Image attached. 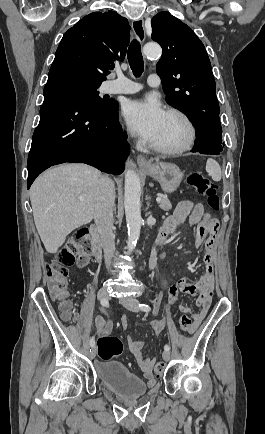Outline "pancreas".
Returning a JSON list of instances; mask_svg holds the SVG:
<instances>
[{"label": "pancreas", "mask_w": 265, "mask_h": 434, "mask_svg": "<svg viewBox=\"0 0 265 434\" xmlns=\"http://www.w3.org/2000/svg\"><path fill=\"white\" fill-rule=\"evenodd\" d=\"M161 210H165V212H168V210H171L172 206L170 204V200H167V198H162L161 202H159Z\"/></svg>", "instance_id": "obj_1"}]
</instances>
